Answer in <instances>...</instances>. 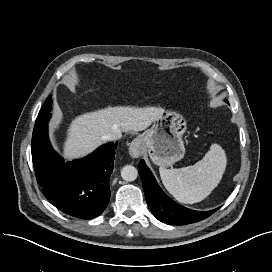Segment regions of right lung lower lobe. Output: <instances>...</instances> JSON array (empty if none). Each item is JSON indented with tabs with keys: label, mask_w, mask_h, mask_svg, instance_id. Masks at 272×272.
I'll return each mask as SVG.
<instances>
[{
	"label": "right lung lower lobe",
	"mask_w": 272,
	"mask_h": 272,
	"mask_svg": "<svg viewBox=\"0 0 272 272\" xmlns=\"http://www.w3.org/2000/svg\"><path fill=\"white\" fill-rule=\"evenodd\" d=\"M50 112L38 115L32 136V160L45 197L62 212L80 219L99 216L110 199L109 179L117 143L102 145L87 157L65 162L48 138Z\"/></svg>",
	"instance_id": "obj_1"
}]
</instances>
